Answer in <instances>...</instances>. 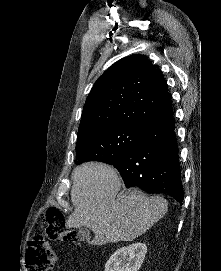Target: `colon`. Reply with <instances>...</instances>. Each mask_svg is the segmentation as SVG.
<instances>
[{
	"mask_svg": "<svg viewBox=\"0 0 221 271\" xmlns=\"http://www.w3.org/2000/svg\"><path fill=\"white\" fill-rule=\"evenodd\" d=\"M47 224V238L43 234L34 235L25 252V271H50L57 256L49 242H75L81 235L66 225L65 214L60 207L50 206L43 212Z\"/></svg>",
	"mask_w": 221,
	"mask_h": 271,
	"instance_id": "1",
	"label": "colon"
}]
</instances>
